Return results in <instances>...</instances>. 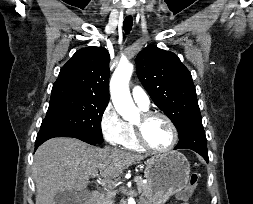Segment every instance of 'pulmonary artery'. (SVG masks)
<instances>
[{"label":"pulmonary artery","mask_w":253,"mask_h":204,"mask_svg":"<svg viewBox=\"0 0 253 204\" xmlns=\"http://www.w3.org/2000/svg\"><path fill=\"white\" fill-rule=\"evenodd\" d=\"M132 98L135 103L143 110H147L150 106V98L148 94L139 86H134L131 90Z\"/></svg>","instance_id":"1"}]
</instances>
